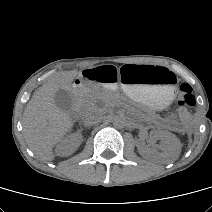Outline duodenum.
Wrapping results in <instances>:
<instances>
[{"label": "duodenum", "mask_w": 212, "mask_h": 212, "mask_svg": "<svg viewBox=\"0 0 212 212\" xmlns=\"http://www.w3.org/2000/svg\"><path fill=\"white\" fill-rule=\"evenodd\" d=\"M83 89H84V86L82 83H78V85L74 87L75 109H77L79 106V101L83 94Z\"/></svg>", "instance_id": "duodenum-1"}]
</instances>
